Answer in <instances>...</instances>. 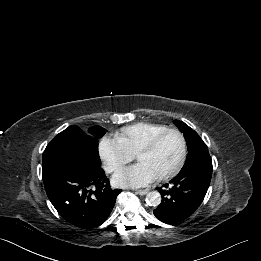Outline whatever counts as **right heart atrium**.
<instances>
[{
  "label": "right heart atrium",
  "mask_w": 261,
  "mask_h": 261,
  "mask_svg": "<svg viewBox=\"0 0 261 261\" xmlns=\"http://www.w3.org/2000/svg\"><path fill=\"white\" fill-rule=\"evenodd\" d=\"M98 152L103 161L106 171L109 173L117 172L132 155L115 137L103 136L98 145Z\"/></svg>",
  "instance_id": "obj_1"
}]
</instances>
